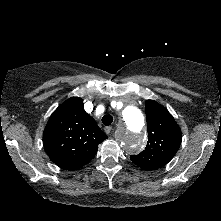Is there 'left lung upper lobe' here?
<instances>
[{"label":"left lung upper lobe","mask_w":221,"mask_h":221,"mask_svg":"<svg viewBox=\"0 0 221 221\" xmlns=\"http://www.w3.org/2000/svg\"><path fill=\"white\" fill-rule=\"evenodd\" d=\"M148 142L146 148L130 159L143 170L167 164L179 149L182 134L173 116L154 100L145 102Z\"/></svg>","instance_id":"left-lung-upper-lobe-1"}]
</instances>
